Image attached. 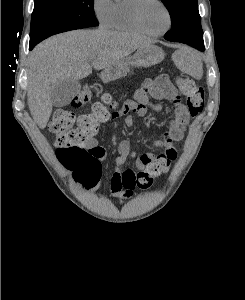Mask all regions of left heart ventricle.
Here are the masks:
<instances>
[{"mask_svg":"<svg viewBox=\"0 0 245 300\" xmlns=\"http://www.w3.org/2000/svg\"><path fill=\"white\" fill-rule=\"evenodd\" d=\"M142 18L145 26L150 31H161L167 25V16L163 8L155 2L149 1L142 11Z\"/></svg>","mask_w":245,"mask_h":300,"instance_id":"b2bd125f","label":"left heart ventricle"}]
</instances>
